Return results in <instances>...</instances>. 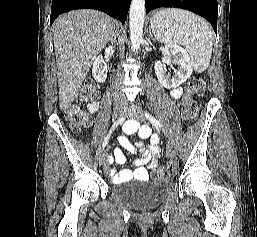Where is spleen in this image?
<instances>
[{"label": "spleen", "instance_id": "3e777b00", "mask_svg": "<svg viewBox=\"0 0 257 237\" xmlns=\"http://www.w3.org/2000/svg\"><path fill=\"white\" fill-rule=\"evenodd\" d=\"M151 29L159 42L184 46L196 72L207 69L213 33L205 20L181 9H163L152 17Z\"/></svg>", "mask_w": 257, "mask_h": 237}]
</instances>
